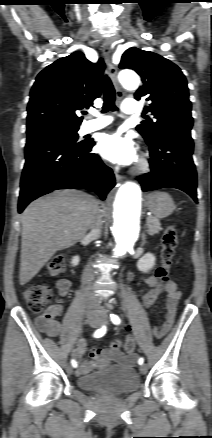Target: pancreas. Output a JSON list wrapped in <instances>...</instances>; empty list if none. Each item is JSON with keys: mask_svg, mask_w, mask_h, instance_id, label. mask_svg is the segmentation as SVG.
<instances>
[{"mask_svg": "<svg viewBox=\"0 0 212 438\" xmlns=\"http://www.w3.org/2000/svg\"><path fill=\"white\" fill-rule=\"evenodd\" d=\"M146 226H147V232H148V234L149 235H155V234H158L159 233V231H161L162 230V228H161V224H160V221H159V219L158 218H156V217H148L147 218V223H146Z\"/></svg>", "mask_w": 212, "mask_h": 438, "instance_id": "1", "label": "pancreas"}]
</instances>
